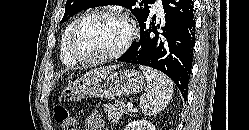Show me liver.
<instances>
[{"mask_svg":"<svg viewBox=\"0 0 249 130\" xmlns=\"http://www.w3.org/2000/svg\"><path fill=\"white\" fill-rule=\"evenodd\" d=\"M111 69H112V67L98 68V69L91 70L90 72H88V74H90V73H96L98 71H108V70H111Z\"/></svg>","mask_w":249,"mask_h":130,"instance_id":"liver-1","label":"liver"}]
</instances>
